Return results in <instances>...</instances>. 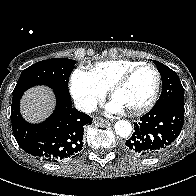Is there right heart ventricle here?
<instances>
[{"label":"right heart ventricle","mask_w":196,"mask_h":196,"mask_svg":"<svg viewBox=\"0 0 196 196\" xmlns=\"http://www.w3.org/2000/svg\"><path fill=\"white\" fill-rule=\"evenodd\" d=\"M140 61L128 59H115L96 63L90 73L94 79L107 91L113 83L124 73L141 64Z\"/></svg>","instance_id":"right-heart-ventricle-1"}]
</instances>
